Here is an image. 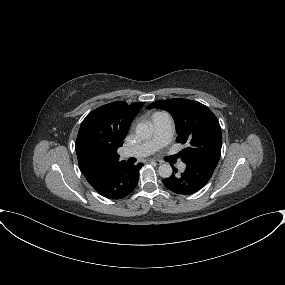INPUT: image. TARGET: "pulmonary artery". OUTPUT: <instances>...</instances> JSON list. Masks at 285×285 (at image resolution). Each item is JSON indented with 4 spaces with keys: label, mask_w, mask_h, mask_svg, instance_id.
<instances>
[{
    "label": "pulmonary artery",
    "mask_w": 285,
    "mask_h": 285,
    "mask_svg": "<svg viewBox=\"0 0 285 285\" xmlns=\"http://www.w3.org/2000/svg\"><path fill=\"white\" fill-rule=\"evenodd\" d=\"M154 135L153 138L133 148L125 150L122 157H145L158 148L166 146L172 135V118L167 113H161L153 119ZM180 169L185 168L184 163L179 164Z\"/></svg>",
    "instance_id": "pulmonary-artery-1"
}]
</instances>
